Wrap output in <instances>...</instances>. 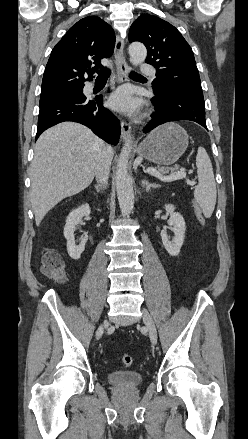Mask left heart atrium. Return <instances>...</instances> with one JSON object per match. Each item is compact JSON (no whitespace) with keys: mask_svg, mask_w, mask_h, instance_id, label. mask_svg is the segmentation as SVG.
<instances>
[{"mask_svg":"<svg viewBox=\"0 0 248 439\" xmlns=\"http://www.w3.org/2000/svg\"><path fill=\"white\" fill-rule=\"evenodd\" d=\"M109 106L120 112L127 114H134L140 107V102L137 100L129 88L123 87L114 92L108 100Z\"/></svg>","mask_w":248,"mask_h":439,"instance_id":"left-heart-atrium-1","label":"left heart atrium"}]
</instances>
